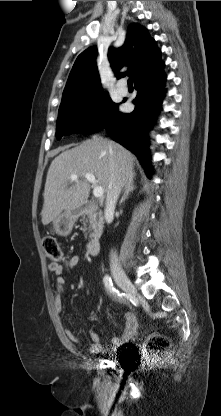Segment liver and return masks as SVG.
<instances>
[{
	"mask_svg": "<svg viewBox=\"0 0 221 416\" xmlns=\"http://www.w3.org/2000/svg\"><path fill=\"white\" fill-rule=\"evenodd\" d=\"M133 161L134 156L130 151L98 136L63 151L54 158L47 173L42 224L48 225L63 210H74L87 201L90 184L84 178V173L94 174L105 193L110 189L113 173L120 188H126L133 183ZM71 174H77L78 178L72 180ZM69 183H72L70 187Z\"/></svg>",
	"mask_w": 221,
	"mask_h": 416,
	"instance_id": "6515ba94",
	"label": "liver"
}]
</instances>
